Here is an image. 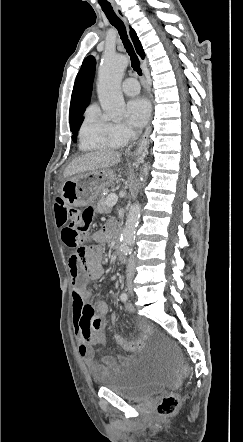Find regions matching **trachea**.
<instances>
[{
    "instance_id": "3493384b",
    "label": "trachea",
    "mask_w": 243,
    "mask_h": 442,
    "mask_svg": "<svg viewBox=\"0 0 243 442\" xmlns=\"http://www.w3.org/2000/svg\"><path fill=\"white\" fill-rule=\"evenodd\" d=\"M102 10L105 13L106 17L108 18L109 22L118 30L120 38L126 49V52L130 56L131 66L133 70L137 72L139 75H142V70L140 68V60L134 50L131 41L128 39L124 23L117 17L111 6H102Z\"/></svg>"
}]
</instances>
